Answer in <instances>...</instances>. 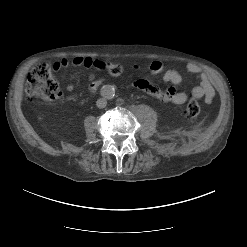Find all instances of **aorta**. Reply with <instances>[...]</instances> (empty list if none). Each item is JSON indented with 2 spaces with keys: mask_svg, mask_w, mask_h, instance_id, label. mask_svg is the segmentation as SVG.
Instances as JSON below:
<instances>
[{
  "mask_svg": "<svg viewBox=\"0 0 247 247\" xmlns=\"http://www.w3.org/2000/svg\"><path fill=\"white\" fill-rule=\"evenodd\" d=\"M102 93L107 99H112L115 96V88L112 85H105L103 86Z\"/></svg>",
  "mask_w": 247,
  "mask_h": 247,
  "instance_id": "762f6f07",
  "label": "aorta"
}]
</instances>
